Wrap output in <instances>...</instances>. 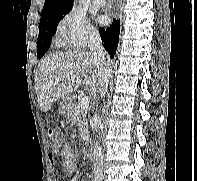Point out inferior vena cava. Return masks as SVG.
I'll use <instances>...</instances> for the list:
<instances>
[{"label": "inferior vena cava", "instance_id": "inferior-vena-cava-1", "mask_svg": "<svg viewBox=\"0 0 197 181\" xmlns=\"http://www.w3.org/2000/svg\"><path fill=\"white\" fill-rule=\"evenodd\" d=\"M88 48H89L90 57L92 61L95 63L101 77L100 95L104 97L108 89L110 68L105 61V51L99 33L93 32L90 34L88 40ZM94 119H95L94 129L95 131H97L101 123V120L98 115H95ZM93 155H94V181H103L104 178L103 154H102L101 146L99 145L98 142H96L94 145Z\"/></svg>", "mask_w": 197, "mask_h": 181}]
</instances>
